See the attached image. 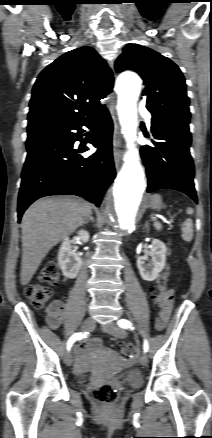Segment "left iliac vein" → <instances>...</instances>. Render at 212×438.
Returning a JSON list of instances; mask_svg holds the SVG:
<instances>
[{
	"instance_id": "4c4485c4",
	"label": "left iliac vein",
	"mask_w": 212,
	"mask_h": 438,
	"mask_svg": "<svg viewBox=\"0 0 212 438\" xmlns=\"http://www.w3.org/2000/svg\"><path fill=\"white\" fill-rule=\"evenodd\" d=\"M103 330H104L105 332L111 334L112 336L117 337V338H125V337H126V332H125L123 329H121L119 326H117L116 324H114V323H110V324L104 326V327H103ZM139 361H140V364H141L142 366H146L147 363H148V357H147V355H146V354H142V355L140 356Z\"/></svg>"
}]
</instances>
